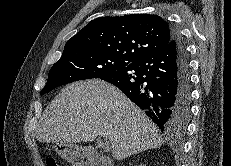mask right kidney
<instances>
[{
	"mask_svg": "<svg viewBox=\"0 0 231 166\" xmlns=\"http://www.w3.org/2000/svg\"><path fill=\"white\" fill-rule=\"evenodd\" d=\"M139 166H146V164H140Z\"/></svg>",
	"mask_w": 231,
	"mask_h": 166,
	"instance_id": "right-kidney-1",
	"label": "right kidney"
}]
</instances>
